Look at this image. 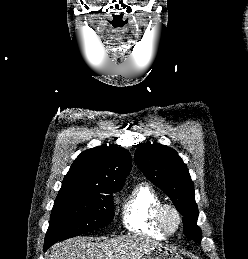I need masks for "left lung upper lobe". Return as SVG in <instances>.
I'll return each mask as SVG.
<instances>
[{
    "instance_id": "left-lung-upper-lobe-1",
    "label": "left lung upper lobe",
    "mask_w": 248,
    "mask_h": 259,
    "mask_svg": "<svg viewBox=\"0 0 248 259\" xmlns=\"http://www.w3.org/2000/svg\"><path fill=\"white\" fill-rule=\"evenodd\" d=\"M135 163L154 185L162 189L184 216V234L199 243L201 230L196 225L198 208L194 184L177 152L159 143L142 144L135 152Z\"/></svg>"
}]
</instances>
